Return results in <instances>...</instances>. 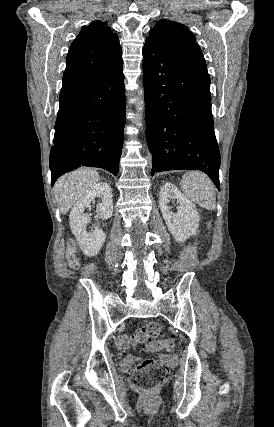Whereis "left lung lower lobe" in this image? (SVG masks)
<instances>
[{"label":"left lung lower lobe","mask_w":274,"mask_h":427,"mask_svg":"<svg viewBox=\"0 0 274 427\" xmlns=\"http://www.w3.org/2000/svg\"><path fill=\"white\" fill-rule=\"evenodd\" d=\"M143 80L146 138L153 157L151 175L168 170H201L220 190V152L207 69L146 40Z\"/></svg>","instance_id":"0a47b994"}]
</instances>
